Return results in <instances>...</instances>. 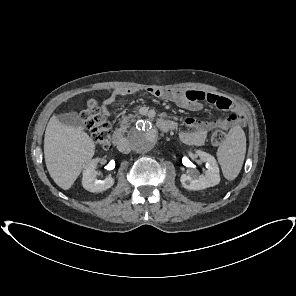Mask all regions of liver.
Listing matches in <instances>:
<instances>
[{"label":"liver","instance_id":"obj_1","mask_svg":"<svg viewBox=\"0 0 296 296\" xmlns=\"http://www.w3.org/2000/svg\"><path fill=\"white\" fill-rule=\"evenodd\" d=\"M94 153V141L86 132L63 125L55 115L50 118L44 137V158L51 178L59 187L71 188Z\"/></svg>","mask_w":296,"mask_h":296}]
</instances>
